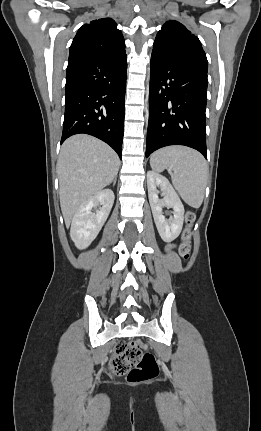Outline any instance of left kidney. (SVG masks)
Masks as SVG:
<instances>
[{
	"instance_id": "1",
	"label": "left kidney",
	"mask_w": 261,
	"mask_h": 431,
	"mask_svg": "<svg viewBox=\"0 0 261 431\" xmlns=\"http://www.w3.org/2000/svg\"><path fill=\"white\" fill-rule=\"evenodd\" d=\"M148 198L153 218L161 238L165 242L175 240L181 233L184 221V206L169 181L155 171L147 172ZM157 187H161L163 199H159ZM173 208V218L167 221L163 207Z\"/></svg>"
}]
</instances>
